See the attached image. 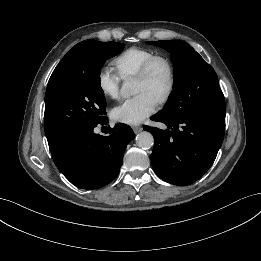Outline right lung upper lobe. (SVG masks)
<instances>
[{
  "instance_id": "cb5924a9",
  "label": "right lung upper lobe",
  "mask_w": 261,
  "mask_h": 261,
  "mask_svg": "<svg viewBox=\"0 0 261 261\" xmlns=\"http://www.w3.org/2000/svg\"><path fill=\"white\" fill-rule=\"evenodd\" d=\"M66 58H67V55H65L64 58L62 59V61L58 64V66L56 67L57 69L64 64V62L66 61Z\"/></svg>"
}]
</instances>
